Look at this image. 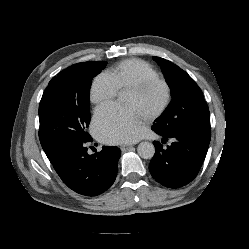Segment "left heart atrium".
<instances>
[{
    "mask_svg": "<svg viewBox=\"0 0 249 249\" xmlns=\"http://www.w3.org/2000/svg\"><path fill=\"white\" fill-rule=\"evenodd\" d=\"M93 128L97 138L108 144H120L139 139L143 134L142 118L131 107L116 104L96 109Z\"/></svg>",
    "mask_w": 249,
    "mask_h": 249,
    "instance_id": "39dd6f15",
    "label": "left heart atrium"
}]
</instances>
